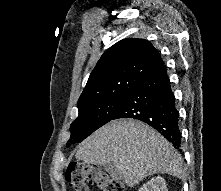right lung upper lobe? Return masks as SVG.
<instances>
[{"label": "right lung upper lobe", "instance_id": "right-lung-upper-lobe-1", "mask_svg": "<svg viewBox=\"0 0 221 191\" xmlns=\"http://www.w3.org/2000/svg\"><path fill=\"white\" fill-rule=\"evenodd\" d=\"M164 65L145 39H124L110 47L91 72L77 107L107 100L130 90Z\"/></svg>", "mask_w": 221, "mask_h": 191}]
</instances>
